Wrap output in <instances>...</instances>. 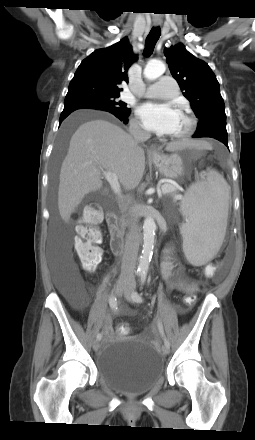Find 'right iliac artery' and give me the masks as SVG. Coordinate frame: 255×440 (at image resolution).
Returning <instances> with one entry per match:
<instances>
[{"label": "right iliac artery", "mask_w": 255, "mask_h": 440, "mask_svg": "<svg viewBox=\"0 0 255 440\" xmlns=\"http://www.w3.org/2000/svg\"><path fill=\"white\" fill-rule=\"evenodd\" d=\"M109 305H110V307L112 309H114V310L117 309V299H116V297L114 295L110 296V298H109ZM101 338H102V334L99 333L97 335V340H101Z\"/></svg>", "instance_id": "right-iliac-artery-1"}]
</instances>
